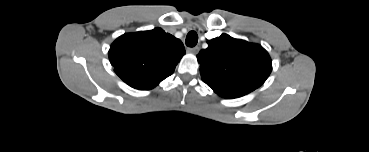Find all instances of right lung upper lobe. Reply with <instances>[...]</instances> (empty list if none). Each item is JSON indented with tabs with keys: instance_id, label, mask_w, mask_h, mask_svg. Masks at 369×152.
<instances>
[{
	"instance_id": "1",
	"label": "right lung upper lobe",
	"mask_w": 369,
	"mask_h": 152,
	"mask_svg": "<svg viewBox=\"0 0 369 152\" xmlns=\"http://www.w3.org/2000/svg\"><path fill=\"white\" fill-rule=\"evenodd\" d=\"M185 54L183 43L161 28L126 33L110 47L115 73L129 86L149 90L170 76Z\"/></svg>"
}]
</instances>
